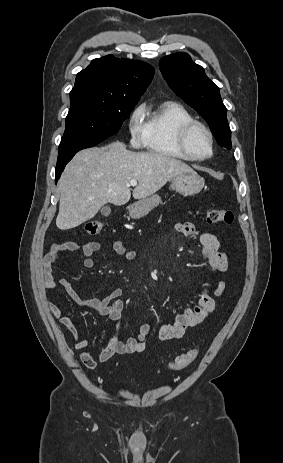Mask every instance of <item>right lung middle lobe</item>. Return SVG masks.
I'll use <instances>...</instances> for the list:
<instances>
[{
	"label": "right lung middle lobe",
	"instance_id": "obj_1",
	"mask_svg": "<svg viewBox=\"0 0 283 463\" xmlns=\"http://www.w3.org/2000/svg\"><path fill=\"white\" fill-rule=\"evenodd\" d=\"M138 101L70 94V110L59 149L101 142L116 134Z\"/></svg>",
	"mask_w": 283,
	"mask_h": 463
}]
</instances>
